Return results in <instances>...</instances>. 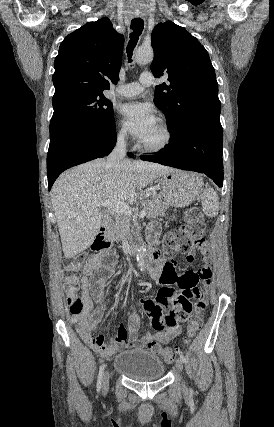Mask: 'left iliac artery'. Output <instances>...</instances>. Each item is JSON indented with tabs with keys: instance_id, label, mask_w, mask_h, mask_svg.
Here are the masks:
<instances>
[{
	"instance_id": "1",
	"label": "left iliac artery",
	"mask_w": 274,
	"mask_h": 427,
	"mask_svg": "<svg viewBox=\"0 0 274 427\" xmlns=\"http://www.w3.org/2000/svg\"><path fill=\"white\" fill-rule=\"evenodd\" d=\"M179 356H180V359H181L183 362H185V361H186V358H185V356H184L183 352H182V351H180V350H179ZM190 393H193V389H192V388H190Z\"/></svg>"
}]
</instances>
